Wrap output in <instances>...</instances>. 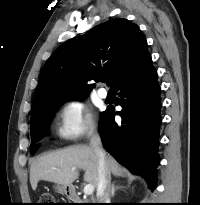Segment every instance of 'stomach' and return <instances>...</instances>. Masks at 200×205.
I'll use <instances>...</instances> for the list:
<instances>
[{"instance_id": "obj_1", "label": "stomach", "mask_w": 200, "mask_h": 205, "mask_svg": "<svg viewBox=\"0 0 200 205\" xmlns=\"http://www.w3.org/2000/svg\"><path fill=\"white\" fill-rule=\"evenodd\" d=\"M55 189L57 190L58 193L60 194H68L69 192V187L68 186H64V185H57L55 187Z\"/></svg>"}]
</instances>
